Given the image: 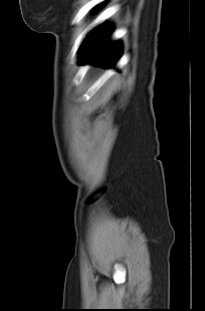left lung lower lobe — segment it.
<instances>
[{
  "instance_id": "left-lung-lower-lobe-1",
  "label": "left lung lower lobe",
  "mask_w": 205,
  "mask_h": 311,
  "mask_svg": "<svg viewBox=\"0 0 205 311\" xmlns=\"http://www.w3.org/2000/svg\"><path fill=\"white\" fill-rule=\"evenodd\" d=\"M109 26L94 32L84 42L82 51V60L80 64L91 62L104 67H113L115 61L120 54V46L118 43L112 45L106 44L109 35Z\"/></svg>"
}]
</instances>
